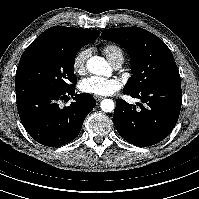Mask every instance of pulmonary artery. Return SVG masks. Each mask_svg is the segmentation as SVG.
Instances as JSON below:
<instances>
[{
    "mask_svg": "<svg viewBox=\"0 0 199 199\" xmlns=\"http://www.w3.org/2000/svg\"><path fill=\"white\" fill-rule=\"evenodd\" d=\"M122 64H123V61L122 60H118L117 62H115L113 64V67L118 69V68H120L122 66Z\"/></svg>",
    "mask_w": 199,
    "mask_h": 199,
    "instance_id": "obj_1",
    "label": "pulmonary artery"
}]
</instances>
